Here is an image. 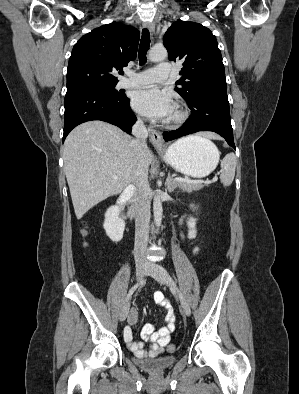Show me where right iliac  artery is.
Returning a JSON list of instances; mask_svg holds the SVG:
<instances>
[{
    "label": "right iliac artery",
    "instance_id": "1",
    "mask_svg": "<svg viewBox=\"0 0 299 394\" xmlns=\"http://www.w3.org/2000/svg\"><path fill=\"white\" fill-rule=\"evenodd\" d=\"M143 282V280L140 281V283H137L136 285H134L130 291L128 292L126 298H125V302H128V300L131 298L132 294L137 290V288L139 287V285Z\"/></svg>",
    "mask_w": 299,
    "mask_h": 394
}]
</instances>
